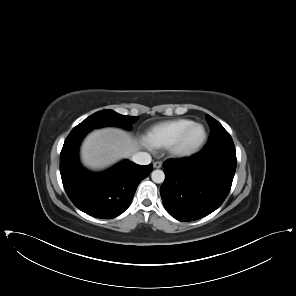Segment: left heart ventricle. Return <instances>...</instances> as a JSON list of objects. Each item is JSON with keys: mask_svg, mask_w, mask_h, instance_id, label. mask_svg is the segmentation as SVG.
Wrapping results in <instances>:
<instances>
[{"mask_svg": "<svg viewBox=\"0 0 296 296\" xmlns=\"http://www.w3.org/2000/svg\"><path fill=\"white\" fill-rule=\"evenodd\" d=\"M202 135V130L199 127H193L189 130V132L185 135L182 141V148H191L195 146Z\"/></svg>", "mask_w": 296, "mask_h": 296, "instance_id": "b2bd125f", "label": "left heart ventricle"}]
</instances>
